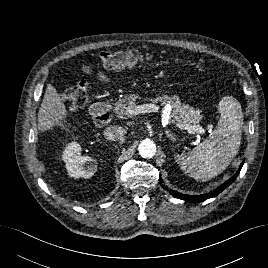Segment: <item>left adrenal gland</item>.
I'll use <instances>...</instances> for the list:
<instances>
[{"label":"left adrenal gland","instance_id":"1","mask_svg":"<svg viewBox=\"0 0 268 268\" xmlns=\"http://www.w3.org/2000/svg\"><path fill=\"white\" fill-rule=\"evenodd\" d=\"M166 136L171 139L172 141H177V139L170 133L168 130L165 131Z\"/></svg>","mask_w":268,"mask_h":268}]
</instances>
